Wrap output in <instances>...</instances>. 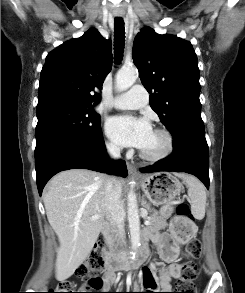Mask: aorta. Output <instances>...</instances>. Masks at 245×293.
Segmentation results:
<instances>
[{
	"mask_svg": "<svg viewBox=\"0 0 245 293\" xmlns=\"http://www.w3.org/2000/svg\"><path fill=\"white\" fill-rule=\"evenodd\" d=\"M137 77L138 73L135 68H122L118 71L115 78L116 89L119 91L127 90L135 83ZM127 217L132 254L135 255L140 245V219L137 198L133 191H130L127 197Z\"/></svg>",
	"mask_w": 245,
	"mask_h": 293,
	"instance_id": "762f6f07",
	"label": "aorta"
}]
</instances>
